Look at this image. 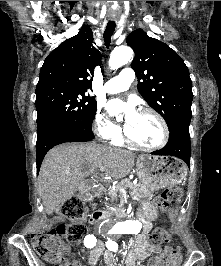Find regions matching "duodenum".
<instances>
[{
    "label": "duodenum",
    "instance_id": "410a0bca",
    "mask_svg": "<svg viewBox=\"0 0 221 266\" xmlns=\"http://www.w3.org/2000/svg\"><path fill=\"white\" fill-rule=\"evenodd\" d=\"M94 191H88L85 195H91L93 194ZM102 193L101 190H98L96 192V194H100ZM128 212L127 211H123L122 207H116L115 211H104V210H95L93 212L90 213L89 215V222L91 224H95L97 222H99L100 220H103L105 218H107L108 216H127Z\"/></svg>",
    "mask_w": 221,
    "mask_h": 266
}]
</instances>
